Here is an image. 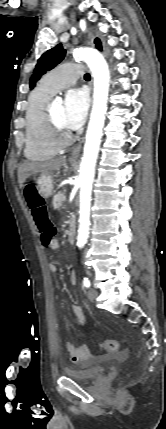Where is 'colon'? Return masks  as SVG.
I'll return each mask as SVG.
<instances>
[{
    "instance_id": "5ec220e1",
    "label": "colon",
    "mask_w": 166,
    "mask_h": 429,
    "mask_svg": "<svg viewBox=\"0 0 166 429\" xmlns=\"http://www.w3.org/2000/svg\"><path fill=\"white\" fill-rule=\"evenodd\" d=\"M25 197L40 231L42 243L48 246L54 239L56 228L49 219L45 202L33 184H28L25 187ZM99 346L104 351L111 353L116 352L119 349V344L115 340H104Z\"/></svg>"
}]
</instances>
